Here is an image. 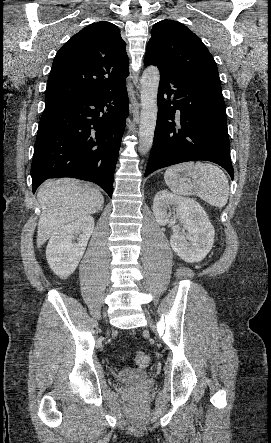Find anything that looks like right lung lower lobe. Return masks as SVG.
Returning a JSON list of instances; mask_svg holds the SVG:
<instances>
[{
    "label": "right lung lower lobe",
    "instance_id": "1",
    "mask_svg": "<svg viewBox=\"0 0 271 443\" xmlns=\"http://www.w3.org/2000/svg\"><path fill=\"white\" fill-rule=\"evenodd\" d=\"M128 104L126 84L46 104L31 165L33 193L48 178L73 177L98 184L112 197Z\"/></svg>",
    "mask_w": 271,
    "mask_h": 443
}]
</instances>
